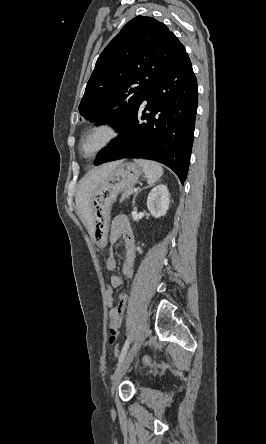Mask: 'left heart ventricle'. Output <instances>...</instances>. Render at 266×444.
Masks as SVG:
<instances>
[{
    "label": "left heart ventricle",
    "mask_w": 266,
    "mask_h": 444,
    "mask_svg": "<svg viewBox=\"0 0 266 444\" xmlns=\"http://www.w3.org/2000/svg\"><path fill=\"white\" fill-rule=\"evenodd\" d=\"M103 135L102 134H96L91 137H89L85 142V151L87 153L93 152L99 144L102 142Z\"/></svg>",
    "instance_id": "obj_1"
}]
</instances>
